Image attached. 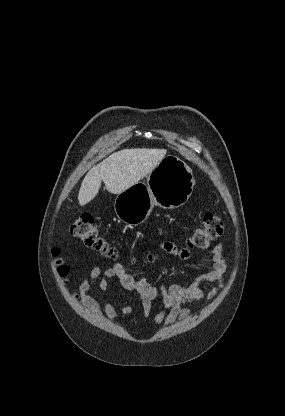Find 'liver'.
Listing matches in <instances>:
<instances>
[{
    "label": "liver",
    "instance_id": "1",
    "mask_svg": "<svg viewBox=\"0 0 285 416\" xmlns=\"http://www.w3.org/2000/svg\"><path fill=\"white\" fill-rule=\"evenodd\" d=\"M167 150H121L94 166L86 174L78 194L80 206H85L97 196L101 182L110 194H121L127 188L138 184L148 176L159 162H162Z\"/></svg>",
    "mask_w": 285,
    "mask_h": 416
}]
</instances>
